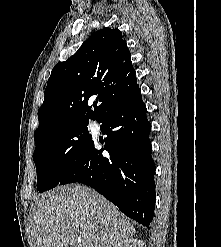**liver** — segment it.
<instances>
[{
    "mask_svg": "<svg viewBox=\"0 0 221 247\" xmlns=\"http://www.w3.org/2000/svg\"><path fill=\"white\" fill-rule=\"evenodd\" d=\"M30 226L33 247H114L135 234L115 205L78 184L38 197Z\"/></svg>",
    "mask_w": 221,
    "mask_h": 247,
    "instance_id": "6515ba94",
    "label": "liver"
}]
</instances>
